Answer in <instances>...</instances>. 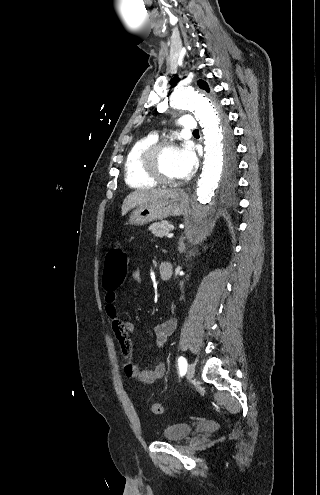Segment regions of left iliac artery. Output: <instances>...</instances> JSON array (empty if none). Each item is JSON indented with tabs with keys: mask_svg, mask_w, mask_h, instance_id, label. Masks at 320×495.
Listing matches in <instances>:
<instances>
[{
	"mask_svg": "<svg viewBox=\"0 0 320 495\" xmlns=\"http://www.w3.org/2000/svg\"><path fill=\"white\" fill-rule=\"evenodd\" d=\"M179 372L181 375H184L187 370V361L183 356L178 358Z\"/></svg>",
	"mask_w": 320,
	"mask_h": 495,
	"instance_id": "left-iliac-artery-1",
	"label": "left iliac artery"
}]
</instances>
